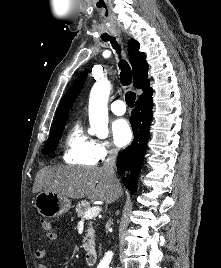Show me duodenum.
Returning <instances> with one entry per match:
<instances>
[{"label": "duodenum", "mask_w": 221, "mask_h": 268, "mask_svg": "<svg viewBox=\"0 0 221 268\" xmlns=\"http://www.w3.org/2000/svg\"><path fill=\"white\" fill-rule=\"evenodd\" d=\"M98 260V252L95 248H90L86 254V262L88 265H94Z\"/></svg>", "instance_id": "410a0bca"}]
</instances>
